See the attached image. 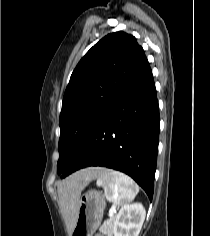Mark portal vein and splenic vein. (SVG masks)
<instances>
[{"mask_svg": "<svg viewBox=\"0 0 210 236\" xmlns=\"http://www.w3.org/2000/svg\"><path fill=\"white\" fill-rule=\"evenodd\" d=\"M114 211H115V209L110 210V211H109V215L112 216L113 213H114Z\"/></svg>", "mask_w": 210, "mask_h": 236, "instance_id": "18ae733b", "label": "portal vein and splenic vein"}]
</instances>
